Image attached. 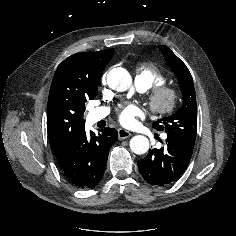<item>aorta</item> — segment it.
<instances>
[{"label": "aorta", "mask_w": 236, "mask_h": 236, "mask_svg": "<svg viewBox=\"0 0 236 236\" xmlns=\"http://www.w3.org/2000/svg\"><path fill=\"white\" fill-rule=\"evenodd\" d=\"M109 86L119 92L132 89V78L124 68L112 69L108 74ZM130 149L135 154H145L149 150V140L143 135H136L130 140Z\"/></svg>", "instance_id": "aorta-1"}]
</instances>
